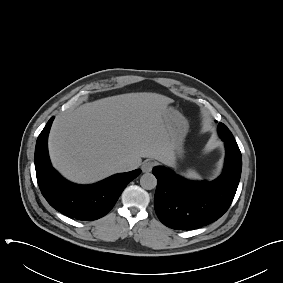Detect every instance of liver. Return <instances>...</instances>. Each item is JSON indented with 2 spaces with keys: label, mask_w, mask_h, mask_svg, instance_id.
I'll return each mask as SVG.
<instances>
[{
  "label": "liver",
  "mask_w": 283,
  "mask_h": 283,
  "mask_svg": "<svg viewBox=\"0 0 283 283\" xmlns=\"http://www.w3.org/2000/svg\"><path fill=\"white\" fill-rule=\"evenodd\" d=\"M173 99L127 93L81 105L57 118L49 135L53 166L67 179L92 183L120 172L117 163L141 158L174 161L163 114Z\"/></svg>",
  "instance_id": "6515ba94"
}]
</instances>
